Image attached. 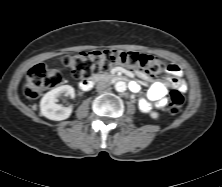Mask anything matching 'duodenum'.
Returning a JSON list of instances; mask_svg holds the SVG:
<instances>
[{
  "instance_id": "410a0bca",
  "label": "duodenum",
  "mask_w": 222,
  "mask_h": 187,
  "mask_svg": "<svg viewBox=\"0 0 222 187\" xmlns=\"http://www.w3.org/2000/svg\"><path fill=\"white\" fill-rule=\"evenodd\" d=\"M129 77L127 74L115 72L110 75H97L92 80L82 81L80 86L83 90H89L95 81H128Z\"/></svg>"
}]
</instances>
